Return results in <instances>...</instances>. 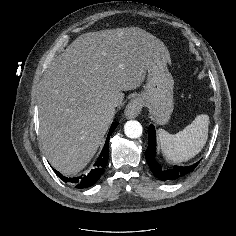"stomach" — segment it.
Segmentation results:
<instances>
[{
	"instance_id": "0dacf381",
	"label": "stomach",
	"mask_w": 236,
	"mask_h": 236,
	"mask_svg": "<svg viewBox=\"0 0 236 236\" xmlns=\"http://www.w3.org/2000/svg\"><path fill=\"white\" fill-rule=\"evenodd\" d=\"M163 58L152 60L147 68L144 91L139 95L141 103L149 108L154 121L166 124L173 112L174 80Z\"/></svg>"
}]
</instances>
